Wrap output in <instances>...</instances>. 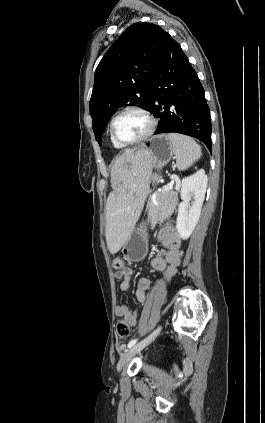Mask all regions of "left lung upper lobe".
<instances>
[{"label":"left lung upper lobe","mask_w":265,"mask_h":423,"mask_svg":"<svg viewBox=\"0 0 265 423\" xmlns=\"http://www.w3.org/2000/svg\"><path fill=\"white\" fill-rule=\"evenodd\" d=\"M168 33L152 23H134L109 48L95 71L90 114L95 138L121 106L151 103L150 85Z\"/></svg>","instance_id":"5c2ea615"}]
</instances>
